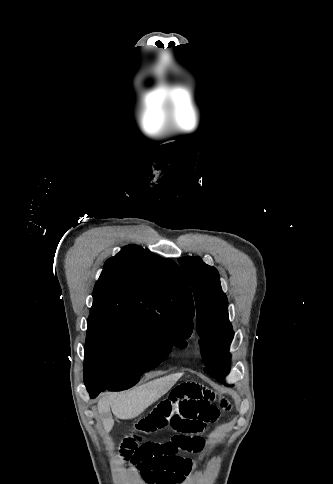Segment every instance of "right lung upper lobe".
<instances>
[{
  "instance_id": "obj_1",
  "label": "right lung upper lobe",
  "mask_w": 333,
  "mask_h": 484,
  "mask_svg": "<svg viewBox=\"0 0 333 484\" xmlns=\"http://www.w3.org/2000/svg\"><path fill=\"white\" fill-rule=\"evenodd\" d=\"M91 313L174 319L193 330V299L182 270L172 260L133 244L104 264L93 291Z\"/></svg>"
}]
</instances>
